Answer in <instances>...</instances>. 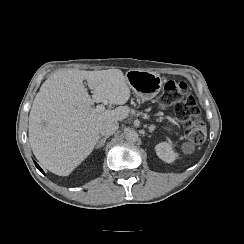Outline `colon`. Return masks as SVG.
Returning a JSON list of instances; mask_svg holds the SVG:
<instances>
[{
  "mask_svg": "<svg viewBox=\"0 0 244 244\" xmlns=\"http://www.w3.org/2000/svg\"><path fill=\"white\" fill-rule=\"evenodd\" d=\"M161 106H171L178 119L184 122L186 135L194 144L206 139V124L197 101L189 94V85L183 80H168L160 96Z\"/></svg>",
  "mask_w": 244,
  "mask_h": 244,
  "instance_id": "5ec220e1",
  "label": "colon"
}]
</instances>
